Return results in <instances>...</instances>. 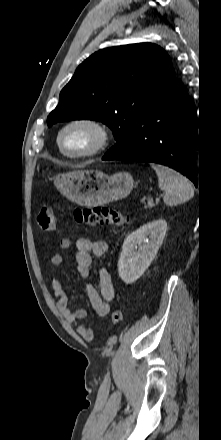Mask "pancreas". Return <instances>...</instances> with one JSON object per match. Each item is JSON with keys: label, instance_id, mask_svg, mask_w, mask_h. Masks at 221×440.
Returning a JSON list of instances; mask_svg holds the SVG:
<instances>
[{"label": "pancreas", "instance_id": "1", "mask_svg": "<svg viewBox=\"0 0 221 440\" xmlns=\"http://www.w3.org/2000/svg\"><path fill=\"white\" fill-rule=\"evenodd\" d=\"M154 206H155V204L153 203V201L151 199H149L147 201V204L145 205V208H152Z\"/></svg>", "mask_w": 221, "mask_h": 440}]
</instances>
